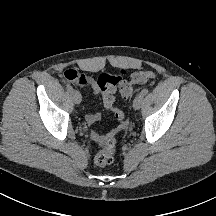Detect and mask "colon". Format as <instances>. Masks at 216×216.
<instances>
[{"instance_id":"5ec220e1","label":"colon","mask_w":216,"mask_h":216,"mask_svg":"<svg viewBox=\"0 0 216 216\" xmlns=\"http://www.w3.org/2000/svg\"><path fill=\"white\" fill-rule=\"evenodd\" d=\"M64 77L69 81H77L81 74L76 70L69 69L64 72ZM155 77L156 73L153 70L136 72L131 75L129 80H122V74L102 73L98 77L97 84L102 91L104 104L119 121H122L124 115L122 110L114 105V93L118 90L120 95L127 99L131 96L135 86L144 84ZM116 144L117 141L112 137L103 142L102 149L94 157L96 165L104 167L112 163Z\"/></svg>"}]
</instances>
